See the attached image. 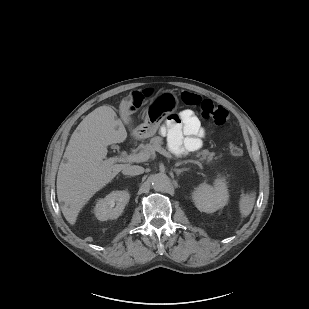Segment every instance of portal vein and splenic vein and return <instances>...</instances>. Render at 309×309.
Masks as SVG:
<instances>
[{
	"label": "portal vein and splenic vein",
	"mask_w": 309,
	"mask_h": 309,
	"mask_svg": "<svg viewBox=\"0 0 309 309\" xmlns=\"http://www.w3.org/2000/svg\"><path fill=\"white\" fill-rule=\"evenodd\" d=\"M157 152H159L160 154L166 156V157H170L169 153L164 150L163 148H159L157 149ZM150 157V154L148 152H139L137 154H130V155H120V156H115V157H111L108 158L104 161V164L107 165H113L114 163L117 162H125V161H129V162H143V161H147ZM195 164H197L198 166L201 167V163L197 162V161H191Z\"/></svg>",
	"instance_id": "18ae733b"
}]
</instances>
